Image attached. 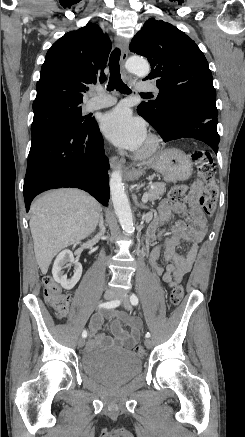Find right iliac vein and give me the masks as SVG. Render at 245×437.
Instances as JSON below:
<instances>
[{"label": "right iliac vein", "mask_w": 245, "mask_h": 437, "mask_svg": "<svg viewBox=\"0 0 245 437\" xmlns=\"http://www.w3.org/2000/svg\"><path fill=\"white\" fill-rule=\"evenodd\" d=\"M114 297H116V295H115V293H114L113 291H111V290L106 291L105 294H104V298H105L106 300H111V299L114 298ZM84 344H85V339L82 337V338H80V339L78 340V346L81 348V347L84 346Z\"/></svg>", "instance_id": "right-iliac-vein-1"}]
</instances>
